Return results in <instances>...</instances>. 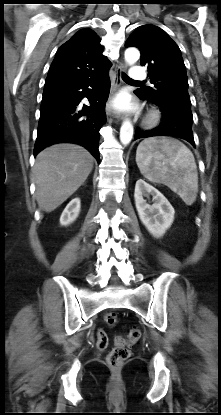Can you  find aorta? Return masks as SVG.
<instances>
[{
	"label": "aorta",
	"instance_id": "aorta-1",
	"mask_svg": "<svg viewBox=\"0 0 221 415\" xmlns=\"http://www.w3.org/2000/svg\"><path fill=\"white\" fill-rule=\"evenodd\" d=\"M125 61L126 63L132 65L140 57L138 49L134 47H129L125 51ZM133 137V125L130 120H125L120 129V141L122 144L127 145L130 143Z\"/></svg>",
	"mask_w": 221,
	"mask_h": 415
}]
</instances>
